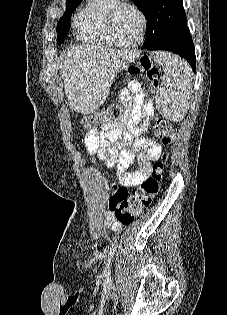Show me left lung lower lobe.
Listing matches in <instances>:
<instances>
[{"mask_svg": "<svg viewBox=\"0 0 227 315\" xmlns=\"http://www.w3.org/2000/svg\"><path fill=\"white\" fill-rule=\"evenodd\" d=\"M142 49L174 52L185 58L190 63L192 69L196 71L195 49L187 24L168 33L156 42L144 43Z\"/></svg>", "mask_w": 227, "mask_h": 315, "instance_id": "1", "label": "left lung lower lobe"}]
</instances>
